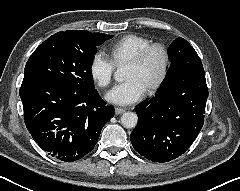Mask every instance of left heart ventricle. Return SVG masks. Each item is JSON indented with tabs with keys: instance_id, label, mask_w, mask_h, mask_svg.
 Wrapping results in <instances>:
<instances>
[{
	"instance_id": "1",
	"label": "left heart ventricle",
	"mask_w": 240,
	"mask_h": 191,
	"mask_svg": "<svg viewBox=\"0 0 240 191\" xmlns=\"http://www.w3.org/2000/svg\"><path fill=\"white\" fill-rule=\"evenodd\" d=\"M163 58L160 51H153L140 65L127 64L125 78H137L146 89L152 85L160 76Z\"/></svg>"
}]
</instances>
